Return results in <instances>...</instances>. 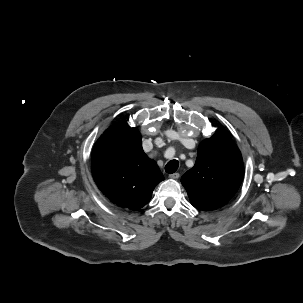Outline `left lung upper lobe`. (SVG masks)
<instances>
[{"mask_svg":"<svg viewBox=\"0 0 303 303\" xmlns=\"http://www.w3.org/2000/svg\"><path fill=\"white\" fill-rule=\"evenodd\" d=\"M241 153L225 130L204 140L196 163L181 178L191 204L200 210H215L228 202L243 180Z\"/></svg>","mask_w":303,"mask_h":303,"instance_id":"obj_1","label":"left lung upper lobe"}]
</instances>
